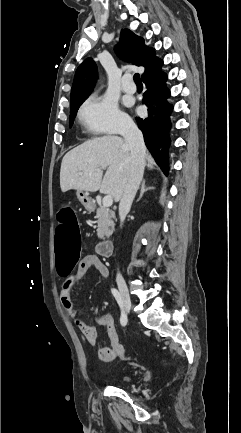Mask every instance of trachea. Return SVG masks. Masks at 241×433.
<instances>
[{"label": "trachea", "mask_w": 241, "mask_h": 433, "mask_svg": "<svg viewBox=\"0 0 241 433\" xmlns=\"http://www.w3.org/2000/svg\"><path fill=\"white\" fill-rule=\"evenodd\" d=\"M134 81H135V83L137 84V85H142V81H141V79H140V76H139V74L138 73H136V74H134Z\"/></svg>", "instance_id": "trachea-1"}]
</instances>
